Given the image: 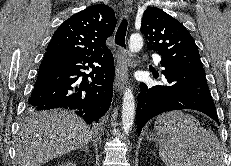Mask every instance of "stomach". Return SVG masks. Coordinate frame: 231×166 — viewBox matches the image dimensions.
I'll return each mask as SVG.
<instances>
[{"instance_id": "stomach-1", "label": "stomach", "mask_w": 231, "mask_h": 166, "mask_svg": "<svg viewBox=\"0 0 231 166\" xmlns=\"http://www.w3.org/2000/svg\"><path fill=\"white\" fill-rule=\"evenodd\" d=\"M153 137H154V133L149 132V134L147 135V138H148V139H152Z\"/></svg>"}]
</instances>
